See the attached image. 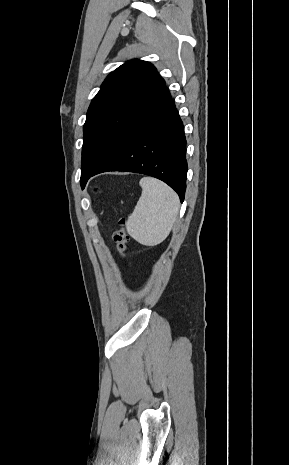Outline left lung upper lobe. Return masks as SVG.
<instances>
[{
  "instance_id": "obj_1",
  "label": "left lung upper lobe",
  "mask_w": 289,
  "mask_h": 465,
  "mask_svg": "<svg viewBox=\"0 0 289 465\" xmlns=\"http://www.w3.org/2000/svg\"><path fill=\"white\" fill-rule=\"evenodd\" d=\"M165 85L149 62L134 59L111 72L93 98L84 124L81 186Z\"/></svg>"
}]
</instances>
